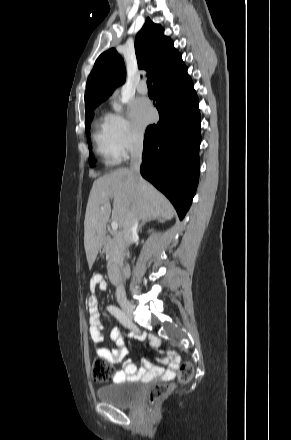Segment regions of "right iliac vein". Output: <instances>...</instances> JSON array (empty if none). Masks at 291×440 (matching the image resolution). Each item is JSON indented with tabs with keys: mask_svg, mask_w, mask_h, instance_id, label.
Here are the masks:
<instances>
[{
	"mask_svg": "<svg viewBox=\"0 0 291 440\" xmlns=\"http://www.w3.org/2000/svg\"><path fill=\"white\" fill-rule=\"evenodd\" d=\"M120 306H121L122 310L126 313V315H128L129 317H132L134 309H133L132 304L128 300H121Z\"/></svg>",
	"mask_w": 291,
	"mask_h": 440,
	"instance_id": "1",
	"label": "right iliac vein"
}]
</instances>
